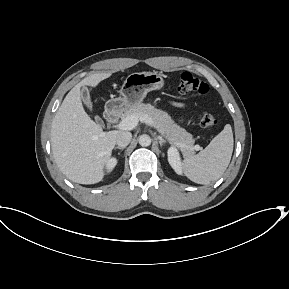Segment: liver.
<instances>
[{"label":"liver","instance_id":"obj_1","mask_svg":"<svg viewBox=\"0 0 289 289\" xmlns=\"http://www.w3.org/2000/svg\"><path fill=\"white\" fill-rule=\"evenodd\" d=\"M96 73L85 77L64 98L51 126V148L60 171L71 181L95 184L104 176L117 136L122 131L103 132L85 112L80 89L96 87L111 76Z\"/></svg>","mask_w":289,"mask_h":289}]
</instances>
